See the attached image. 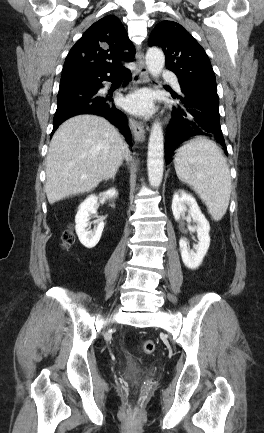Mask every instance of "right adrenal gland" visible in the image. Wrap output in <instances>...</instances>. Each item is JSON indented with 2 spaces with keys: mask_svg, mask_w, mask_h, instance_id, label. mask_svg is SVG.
Instances as JSON below:
<instances>
[{
  "mask_svg": "<svg viewBox=\"0 0 264 433\" xmlns=\"http://www.w3.org/2000/svg\"><path fill=\"white\" fill-rule=\"evenodd\" d=\"M117 171L114 172L110 177L105 179V182H107L109 179H112L113 181L115 180V175H116Z\"/></svg>",
  "mask_w": 264,
  "mask_h": 433,
  "instance_id": "2a0ac1e0",
  "label": "right adrenal gland"
}]
</instances>
